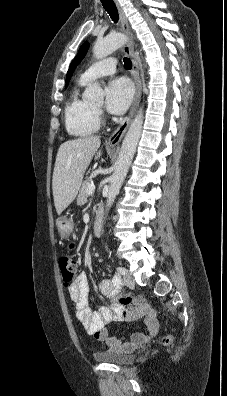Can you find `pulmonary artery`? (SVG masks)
Wrapping results in <instances>:
<instances>
[{
	"label": "pulmonary artery",
	"instance_id": "e3ab8cb5",
	"mask_svg": "<svg viewBox=\"0 0 227 396\" xmlns=\"http://www.w3.org/2000/svg\"><path fill=\"white\" fill-rule=\"evenodd\" d=\"M117 61L114 58H106L90 65L82 74L81 79L90 82L99 77L115 73Z\"/></svg>",
	"mask_w": 227,
	"mask_h": 396
}]
</instances>
